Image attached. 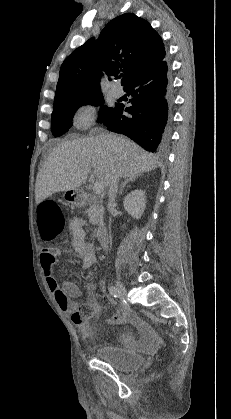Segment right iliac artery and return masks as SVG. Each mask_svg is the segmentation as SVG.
<instances>
[{"label": "right iliac artery", "instance_id": "1", "mask_svg": "<svg viewBox=\"0 0 231 419\" xmlns=\"http://www.w3.org/2000/svg\"><path fill=\"white\" fill-rule=\"evenodd\" d=\"M108 290H109V293L112 295V296H114L115 298H118L119 297V292H118V290L114 287V286H110L109 288H108Z\"/></svg>", "mask_w": 231, "mask_h": 419}]
</instances>
